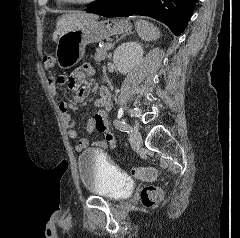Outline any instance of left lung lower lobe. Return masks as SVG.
Listing matches in <instances>:
<instances>
[{
	"mask_svg": "<svg viewBox=\"0 0 240 238\" xmlns=\"http://www.w3.org/2000/svg\"><path fill=\"white\" fill-rule=\"evenodd\" d=\"M197 0H100L88 12L104 17L150 16L165 23L179 36L185 29Z\"/></svg>",
	"mask_w": 240,
	"mask_h": 238,
	"instance_id": "obj_1",
	"label": "left lung lower lobe"
}]
</instances>
